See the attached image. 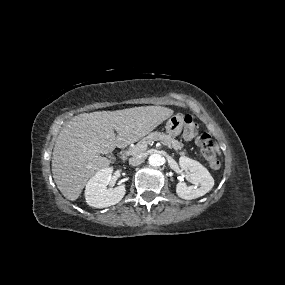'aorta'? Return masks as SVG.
<instances>
[{
    "instance_id": "762f6f07",
    "label": "aorta",
    "mask_w": 285,
    "mask_h": 285,
    "mask_svg": "<svg viewBox=\"0 0 285 285\" xmlns=\"http://www.w3.org/2000/svg\"><path fill=\"white\" fill-rule=\"evenodd\" d=\"M148 161L151 166H155V167L163 164V158L160 154L150 155Z\"/></svg>"
}]
</instances>
